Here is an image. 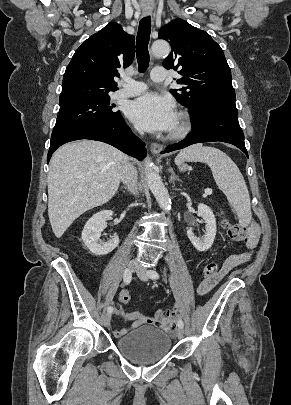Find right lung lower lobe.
<instances>
[{
	"label": "right lung lower lobe",
	"mask_w": 291,
	"mask_h": 405,
	"mask_svg": "<svg viewBox=\"0 0 291 405\" xmlns=\"http://www.w3.org/2000/svg\"><path fill=\"white\" fill-rule=\"evenodd\" d=\"M79 139L98 140L108 143L122 152L142 160L146 155L145 144L126 125L122 116L106 125H85L52 136L47 156L61 145Z\"/></svg>",
	"instance_id": "obj_1"
}]
</instances>
